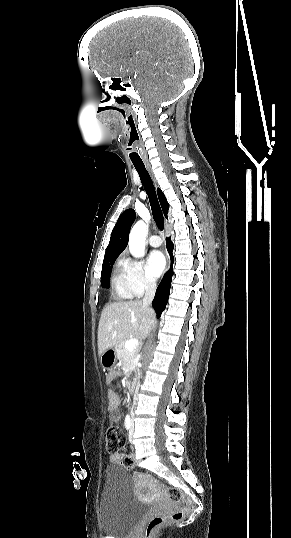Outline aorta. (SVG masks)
I'll use <instances>...</instances> for the list:
<instances>
[{"label": "aorta", "instance_id": "obj_1", "mask_svg": "<svg viewBox=\"0 0 291 538\" xmlns=\"http://www.w3.org/2000/svg\"><path fill=\"white\" fill-rule=\"evenodd\" d=\"M146 233L147 228L143 221L136 222L130 232L128 242L129 250L136 257L144 255Z\"/></svg>", "mask_w": 291, "mask_h": 538}]
</instances>
